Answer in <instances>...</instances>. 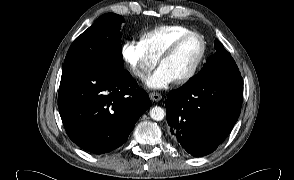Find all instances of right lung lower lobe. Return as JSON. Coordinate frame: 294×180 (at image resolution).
<instances>
[{
	"label": "right lung lower lobe",
	"instance_id": "1",
	"mask_svg": "<svg viewBox=\"0 0 294 180\" xmlns=\"http://www.w3.org/2000/svg\"><path fill=\"white\" fill-rule=\"evenodd\" d=\"M137 86L127 71L88 67L62 75L58 108L69 138L95 154L121 146L151 106Z\"/></svg>",
	"mask_w": 294,
	"mask_h": 180
}]
</instances>
